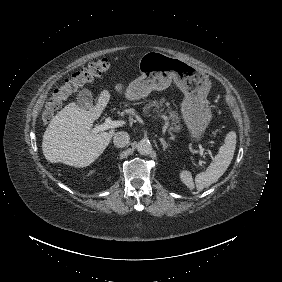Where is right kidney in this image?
<instances>
[{"mask_svg": "<svg viewBox=\"0 0 282 282\" xmlns=\"http://www.w3.org/2000/svg\"><path fill=\"white\" fill-rule=\"evenodd\" d=\"M96 172H97V168H92V169H89L86 174L87 176H93L96 174Z\"/></svg>", "mask_w": 282, "mask_h": 282, "instance_id": "obj_1", "label": "right kidney"}]
</instances>
